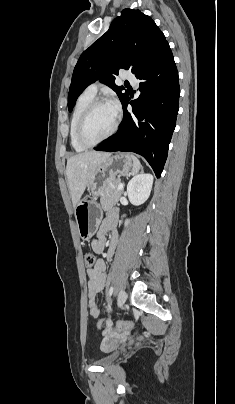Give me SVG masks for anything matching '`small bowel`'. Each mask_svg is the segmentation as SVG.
Returning a JSON list of instances; mask_svg holds the SVG:
<instances>
[{
  "mask_svg": "<svg viewBox=\"0 0 235 404\" xmlns=\"http://www.w3.org/2000/svg\"><path fill=\"white\" fill-rule=\"evenodd\" d=\"M116 221V213H111L107 218H105L99 228L96 239H94L92 242L94 252L103 253L106 247V234L109 230H111L109 248L106 252L107 258L112 257L118 243V235L115 230ZM87 275L89 278L87 283L89 313L92 317L98 318L101 316L102 310L99 308L96 302V297L104 290L106 285L107 275L105 261L103 259L96 260L95 265L88 268Z\"/></svg>",
  "mask_w": 235,
  "mask_h": 404,
  "instance_id": "1",
  "label": "small bowel"
}]
</instances>
